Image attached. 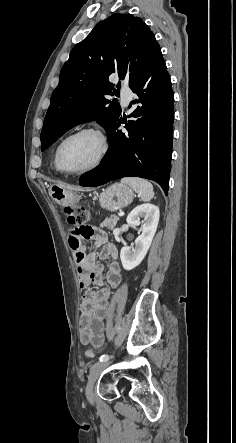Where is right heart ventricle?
Returning a JSON list of instances; mask_svg holds the SVG:
<instances>
[{
	"label": "right heart ventricle",
	"mask_w": 236,
	"mask_h": 443,
	"mask_svg": "<svg viewBox=\"0 0 236 443\" xmlns=\"http://www.w3.org/2000/svg\"><path fill=\"white\" fill-rule=\"evenodd\" d=\"M54 166H55V168L57 169L56 164H55V159H54Z\"/></svg>",
	"instance_id": "e07e8e85"
}]
</instances>
